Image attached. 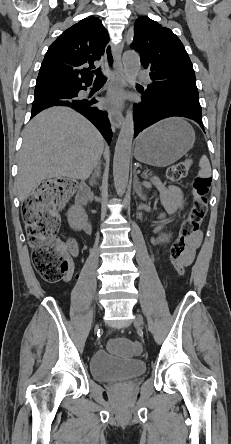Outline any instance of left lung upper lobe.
I'll list each match as a JSON object with an SVG mask.
<instances>
[{
  "instance_id": "obj_1",
  "label": "left lung upper lobe",
  "mask_w": 231,
  "mask_h": 444,
  "mask_svg": "<svg viewBox=\"0 0 231 444\" xmlns=\"http://www.w3.org/2000/svg\"><path fill=\"white\" fill-rule=\"evenodd\" d=\"M130 47L140 54L141 64L150 71L153 82L146 90L199 98L193 65L182 42L170 29L148 17H139Z\"/></svg>"
}]
</instances>
